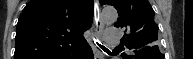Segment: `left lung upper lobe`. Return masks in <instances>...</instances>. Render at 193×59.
<instances>
[{"label":"left lung upper lobe","instance_id":"obj_1","mask_svg":"<svg viewBox=\"0 0 193 59\" xmlns=\"http://www.w3.org/2000/svg\"><path fill=\"white\" fill-rule=\"evenodd\" d=\"M100 3L117 9L119 18L115 27L126 32L122 38L123 45L134 49L135 53L142 48H158V26L148 0H100Z\"/></svg>","mask_w":193,"mask_h":59}]
</instances>
